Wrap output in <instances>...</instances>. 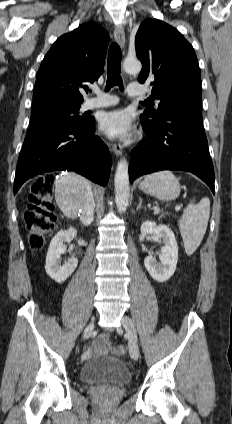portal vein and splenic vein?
<instances>
[{
    "instance_id": "18ae733b",
    "label": "portal vein and splenic vein",
    "mask_w": 232,
    "mask_h": 424,
    "mask_svg": "<svg viewBox=\"0 0 232 424\" xmlns=\"http://www.w3.org/2000/svg\"><path fill=\"white\" fill-rule=\"evenodd\" d=\"M180 208H181L180 206H176V207H175V210H176V211H179V210H180ZM158 213H159V210H155L154 214H158Z\"/></svg>"
}]
</instances>
